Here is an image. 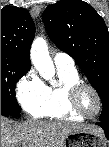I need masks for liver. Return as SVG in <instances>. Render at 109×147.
<instances>
[{
  "instance_id": "obj_1",
  "label": "liver",
  "mask_w": 109,
  "mask_h": 147,
  "mask_svg": "<svg viewBox=\"0 0 109 147\" xmlns=\"http://www.w3.org/2000/svg\"><path fill=\"white\" fill-rule=\"evenodd\" d=\"M104 134L100 127L86 124L31 119L13 124L1 118V147H65L73 132Z\"/></svg>"
}]
</instances>
